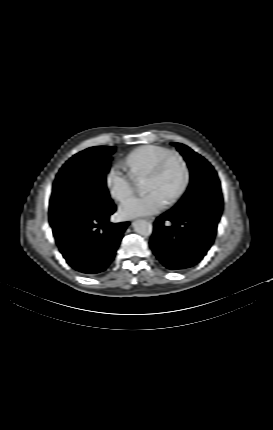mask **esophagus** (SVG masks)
Masks as SVG:
<instances>
[{
  "mask_svg": "<svg viewBox=\"0 0 273 430\" xmlns=\"http://www.w3.org/2000/svg\"><path fill=\"white\" fill-rule=\"evenodd\" d=\"M146 220H148L149 222H153L154 221V217H147Z\"/></svg>",
  "mask_w": 273,
  "mask_h": 430,
  "instance_id": "esophagus-1",
  "label": "esophagus"
}]
</instances>
